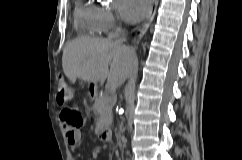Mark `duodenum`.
<instances>
[{"instance_id": "410a0bca", "label": "duodenum", "mask_w": 242, "mask_h": 160, "mask_svg": "<svg viewBox=\"0 0 242 160\" xmlns=\"http://www.w3.org/2000/svg\"><path fill=\"white\" fill-rule=\"evenodd\" d=\"M110 137H111V131H110V129L105 128V129H101L99 131V139L101 141L107 142V141L110 140Z\"/></svg>"}]
</instances>
